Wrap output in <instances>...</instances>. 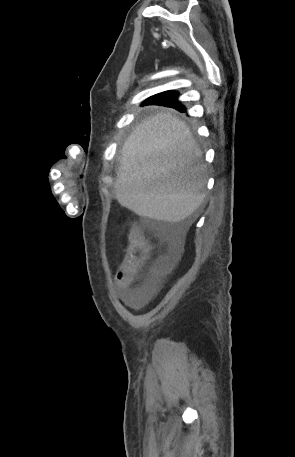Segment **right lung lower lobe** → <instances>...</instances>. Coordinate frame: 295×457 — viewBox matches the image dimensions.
Listing matches in <instances>:
<instances>
[{
    "instance_id": "right-lung-lower-lobe-1",
    "label": "right lung lower lobe",
    "mask_w": 295,
    "mask_h": 457,
    "mask_svg": "<svg viewBox=\"0 0 295 457\" xmlns=\"http://www.w3.org/2000/svg\"><path fill=\"white\" fill-rule=\"evenodd\" d=\"M159 94L157 95H154L150 98H148L144 104H159V105H165V106H169V107H173L175 109H178L179 111H185V108L177 101V96L173 97V98H168L166 100H164L163 102H161L158 98Z\"/></svg>"
}]
</instances>
